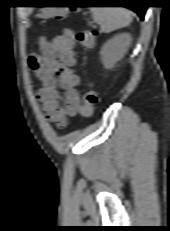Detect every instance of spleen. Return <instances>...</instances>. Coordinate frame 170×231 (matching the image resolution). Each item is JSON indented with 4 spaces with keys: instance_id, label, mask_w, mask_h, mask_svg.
<instances>
[{
    "instance_id": "obj_1",
    "label": "spleen",
    "mask_w": 170,
    "mask_h": 231,
    "mask_svg": "<svg viewBox=\"0 0 170 231\" xmlns=\"http://www.w3.org/2000/svg\"><path fill=\"white\" fill-rule=\"evenodd\" d=\"M91 12L103 33L124 28L132 21L130 11L123 7H92Z\"/></svg>"
}]
</instances>
